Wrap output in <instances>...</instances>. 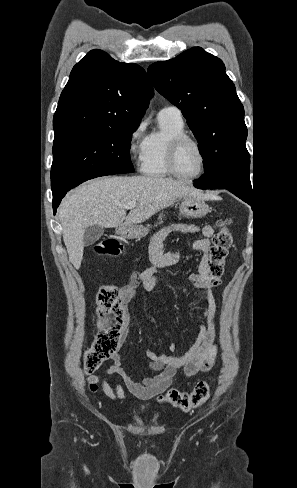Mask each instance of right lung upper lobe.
Listing matches in <instances>:
<instances>
[{
  "instance_id": "obj_1",
  "label": "right lung upper lobe",
  "mask_w": 297,
  "mask_h": 488,
  "mask_svg": "<svg viewBox=\"0 0 297 488\" xmlns=\"http://www.w3.org/2000/svg\"><path fill=\"white\" fill-rule=\"evenodd\" d=\"M153 95L145 70L90 51L70 73L53 118L55 135L138 126Z\"/></svg>"
}]
</instances>
